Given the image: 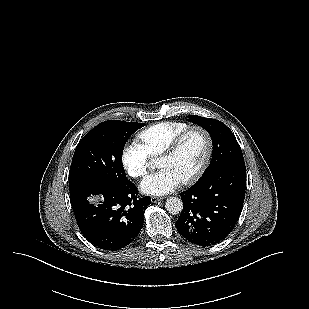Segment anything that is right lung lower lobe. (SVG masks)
<instances>
[{
    "label": "right lung lower lobe",
    "instance_id": "98d812e1",
    "mask_svg": "<svg viewBox=\"0 0 309 309\" xmlns=\"http://www.w3.org/2000/svg\"><path fill=\"white\" fill-rule=\"evenodd\" d=\"M129 182L118 186L102 180L70 185V201L83 236L96 247L116 251L134 241L143 227L150 197H138Z\"/></svg>",
    "mask_w": 309,
    "mask_h": 309
}]
</instances>
